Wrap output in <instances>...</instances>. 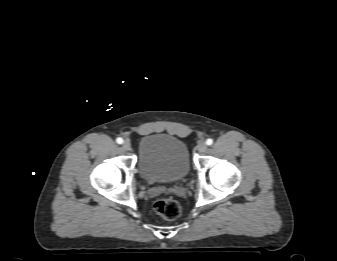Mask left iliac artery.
I'll return each mask as SVG.
<instances>
[{"instance_id": "obj_1", "label": "left iliac artery", "mask_w": 337, "mask_h": 261, "mask_svg": "<svg viewBox=\"0 0 337 261\" xmlns=\"http://www.w3.org/2000/svg\"><path fill=\"white\" fill-rule=\"evenodd\" d=\"M206 144H207V145H212V144H213V140L210 139V138L207 139V140H206Z\"/></svg>"}]
</instances>
